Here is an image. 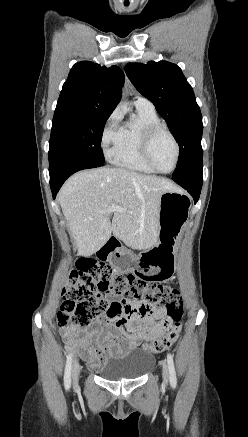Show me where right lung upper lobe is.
Masks as SVG:
<instances>
[{"label":"right lung upper lobe","mask_w":248,"mask_h":437,"mask_svg":"<svg viewBox=\"0 0 248 437\" xmlns=\"http://www.w3.org/2000/svg\"><path fill=\"white\" fill-rule=\"evenodd\" d=\"M123 83L124 74L117 66L76 63L63 84L57 107L110 115L120 101Z\"/></svg>","instance_id":"1"}]
</instances>
